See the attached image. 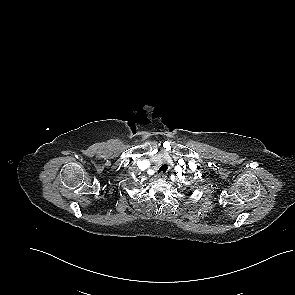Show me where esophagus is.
I'll list each match as a JSON object with an SVG mask.
<instances>
[{
  "label": "esophagus",
  "mask_w": 295,
  "mask_h": 295,
  "mask_svg": "<svg viewBox=\"0 0 295 295\" xmlns=\"http://www.w3.org/2000/svg\"><path fill=\"white\" fill-rule=\"evenodd\" d=\"M159 179H165L167 178V175L165 173H159L158 176H157Z\"/></svg>",
  "instance_id": "34e87169"
}]
</instances>
